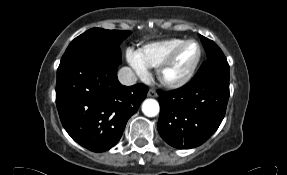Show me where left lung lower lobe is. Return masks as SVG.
<instances>
[{
	"label": "left lung lower lobe",
	"instance_id": "left-lung-lower-lobe-1",
	"mask_svg": "<svg viewBox=\"0 0 287 175\" xmlns=\"http://www.w3.org/2000/svg\"><path fill=\"white\" fill-rule=\"evenodd\" d=\"M159 95L160 136L174 148L190 149L208 140L221 124L229 99V80H191Z\"/></svg>",
	"mask_w": 287,
	"mask_h": 175
}]
</instances>
